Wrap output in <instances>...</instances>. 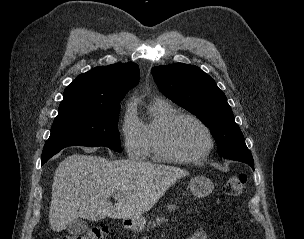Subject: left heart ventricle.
Returning <instances> with one entry per match:
<instances>
[{"label":"left heart ventricle","instance_id":"1","mask_svg":"<svg viewBox=\"0 0 304 239\" xmlns=\"http://www.w3.org/2000/svg\"><path fill=\"white\" fill-rule=\"evenodd\" d=\"M171 142L177 153L193 156L205 149L207 138L203 129L197 123L190 119H184L174 128Z\"/></svg>","mask_w":304,"mask_h":239}]
</instances>
